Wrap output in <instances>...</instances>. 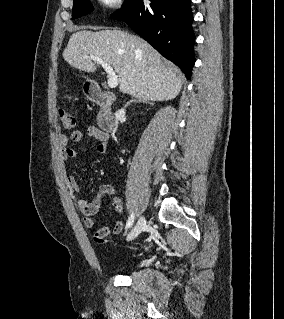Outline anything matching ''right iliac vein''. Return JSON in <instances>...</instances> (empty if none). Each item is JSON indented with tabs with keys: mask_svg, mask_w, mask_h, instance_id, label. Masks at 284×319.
I'll return each mask as SVG.
<instances>
[{
	"mask_svg": "<svg viewBox=\"0 0 284 319\" xmlns=\"http://www.w3.org/2000/svg\"><path fill=\"white\" fill-rule=\"evenodd\" d=\"M145 225H146V220L142 216L138 219L137 223L135 224V226L132 228V230L128 234L127 240L131 241V240L135 239L142 232Z\"/></svg>",
	"mask_w": 284,
	"mask_h": 319,
	"instance_id": "obj_1",
	"label": "right iliac vein"
}]
</instances>
